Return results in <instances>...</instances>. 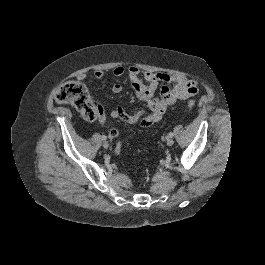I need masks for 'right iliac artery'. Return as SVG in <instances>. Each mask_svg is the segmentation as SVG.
I'll return each instance as SVG.
<instances>
[{
	"label": "right iliac artery",
	"instance_id": "obj_1",
	"mask_svg": "<svg viewBox=\"0 0 265 265\" xmlns=\"http://www.w3.org/2000/svg\"><path fill=\"white\" fill-rule=\"evenodd\" d=\"M101 139H102V140H106L107 137H106L105 135H102V136H101Z\"/></svg>",
	"mask_w": 265,
	"mask_h": 265
}]
</instances>
